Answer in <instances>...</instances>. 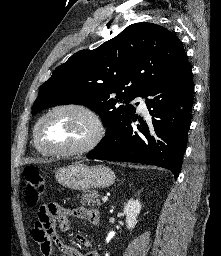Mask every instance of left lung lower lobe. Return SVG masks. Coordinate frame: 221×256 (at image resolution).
<instances>
[{
  "mask_svg": "<svg viewBox=\"0 0 221 256\" xmlns=\"http://www.w3.org/2000/svg\"><path fill=\"white\" fill-rule=\"evenodd\" d=\"M188 63L176 74L155 85L144 97L151 118H139L133 130V115L107 132L87 158L155 165L167 168L177 178L191 124L194 86Z\"/></svg>",
  "mask_w": 221,
  "mask_h": 256,
  "instance_id": "left-lung-lower-lobe-1",
  "label": "left lung lower lobe"
}]
</instances>
